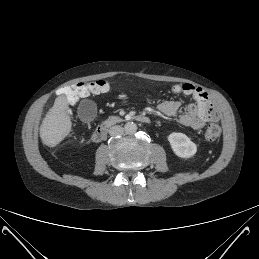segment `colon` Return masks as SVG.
Masks as SVG:
<instances>
[{
  "label": "colon",
  "mask_w": 259,
  "mask_h": 259,
  "mask_svg": "<svg viewBox=\"0 0 259 259\" xmlns=\"http://www.w3.org/2000/svg\"><path fill=\"white\" fill-rule=\"evenodd\" d=\"M109 89V84L105 80H96L91 82L78 83L72 86L64 87L61 93L70 103H75L80 97H85L89 94L105 93ZM174 93H180L185 99H191L194 96L201 101H206L209 98V93L201 88H196L191 84H183L173 88ZM208 111L212 112V107L208 106ZM221 128L217 123H210L205 129V137L209 141H215L220 137Z\"/></svg>",
  "instance_id": "colon-1"
}]
</instances>
